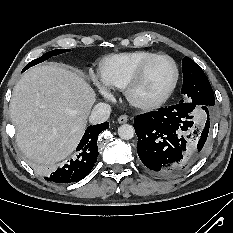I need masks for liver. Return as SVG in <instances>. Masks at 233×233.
Wrapping results in <instances>:
<instances>
[{
    "instance_id": "1",
    "label": "liver",
    "mask_w": 233,
    "mask_h": 233,
    "mask_svg": "<svg viewBox=\"0 0 233 233\" xmlns=\"http://www.w3.org/2000/svg\"><path fill=\"white\" fill-rule=\"evenodd\" d=\"M96 94L81 73L59 64L29 69L14 86L10 117L21 151L55 164L77 147Z\"/></svg>"
}]
</instances>
